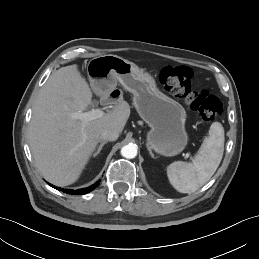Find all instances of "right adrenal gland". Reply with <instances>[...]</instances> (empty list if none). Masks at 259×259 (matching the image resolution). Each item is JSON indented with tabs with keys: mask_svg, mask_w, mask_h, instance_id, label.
I'll return each mask as SVG.
<instances>
[{
	"mask_svg": "<svg viewBox=\"0 0 259 259\" xmlns=\"http://www.w3.org/2000/svg\"><path fill=\"white\" fill-rule=\"evenodd\" d=\"M106 143H107L106 141H102V142L100 143V145H99L98 148H97V151L93 154V157H94V158L100 153V151L102 150L103 146H104Z\"/></svg>",
	"mask_w": 259,
	"mask_h": 259,
	"instance_id": "obj_1",
	"label": "right adrenal gland"
}]
</instances>
